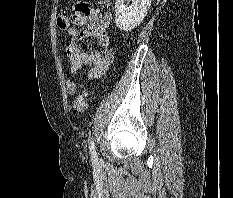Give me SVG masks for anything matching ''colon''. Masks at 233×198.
Segmentation results:
<instances>
[{"label":"colon","mask_w":233,"mask_h":198,"mask_svg":"<svg viewBox=\"0 0 233 198\" xmlns=\"http://www.w3.org/2000/svg\"><path fill=\"white\" fill-rule=\"evenodd\" d=\"M57 26L65 30L69 26V19L66 16H59L57 19ZM87 93L85 91L80 92L74 102V107L79 112H84L87 109Z\"/></svg>","instance_id":"colon-1"}]
</instances>
